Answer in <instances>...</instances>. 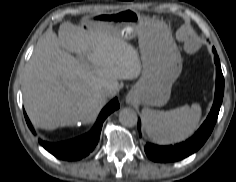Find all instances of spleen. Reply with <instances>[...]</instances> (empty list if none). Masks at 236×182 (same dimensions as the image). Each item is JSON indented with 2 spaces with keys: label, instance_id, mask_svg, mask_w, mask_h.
<instances>
[{
  "label": "spleen",
  "instance_id": "spleen-1",
  "mask_svg": "<svg viewBox=\"0 0 236 182\" xmlns=\"http://www.w3.org/2000/svg\"><path fill=\"white\" fill-rule=\"evenodd\" d=\"M202 109L198 103L169 111L142 110L147 135L160 144L180 142L190 137L199 126Z\"/></svg>",
  "mask_w": 236,
  "mask_h": 182
}]
</instances>
